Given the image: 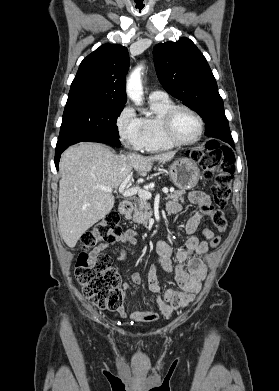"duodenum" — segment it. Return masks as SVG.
<instances>
[{"instance_id": "duodenum-1", "label": "duodenum", "mask_w": 279, "mask_h": 391, "mask_svg": "<svg viewBox=\"0 0 279 391\" xmlns=\"http://www.w3.org/2000/svg\"><path fill=\"white\" fill-rule=\"evenodd\" d=\"M133 205L130 201H122L119 205V210L122 215L127 216L131 213Z\"/></svg>"}]
</instances>
